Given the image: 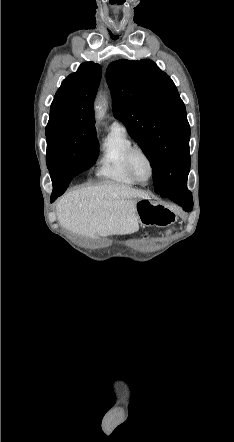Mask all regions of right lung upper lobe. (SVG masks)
Returning a JSON list of instances; mask_svg holds the SVG:
<instances>
[{"instance_id": "obj_1", "label": "right lung upper lobe", "mask_w": 234, "mask_h": 442, "mask_svg": "<svg viewBox=\"0 0 234 442\" xmlns=\"http://www.w3.org/2000/svg\"><path fill=\"white\" fill-rule=\"evenodd\" d=\"M101 66L85 62L61 84L51 104L49 120H70L84 131L96 132L93 103L101 80Z\"/></svg>"}]
</instances>
